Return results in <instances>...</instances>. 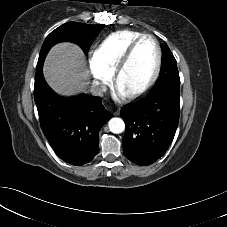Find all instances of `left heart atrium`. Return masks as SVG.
Returning <instances> with one entry per match:
<instances>
[{
    "label": "left heart atrium",
    "mask_w": 227,
    "mask_h": 227,
    "mask_svg": "<svg viewBox=\"0 0 227 227\" xmlns=\"http://www.w3.org/2000/svg\"><path fill=\"white\" fill-rule=\"evenodd\" d=\"M118 94L124 95V92H122V91L118 88Z\"/></svg>",
    "instance_id": "left-heart-atrium-1"
}]
</instances>
